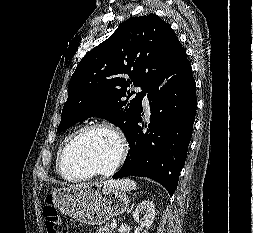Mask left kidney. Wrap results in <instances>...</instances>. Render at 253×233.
<instances>
[{"label":"left kidney","instance_id":"1","mask_svg":"<svg viewBox=\"0 0 253 233\" xmlns=\"http://www.w3.org/2000/svg\"><path fill=\"white\" fill-rule=\"evenodd\" d=\"M143 215V217H141ZM134 220L141 224L142 227H145L146 231L151 227L154 218H155V206L152 201L143 200L133 212Z\"/></svg>","mask_w":253,"mask_h":233}]
</instances>
